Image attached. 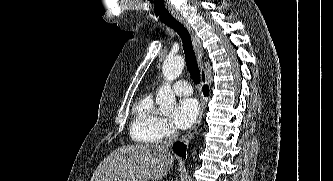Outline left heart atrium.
Returning a JSON list of instances; mask_svg holds the SVG:
<instances>
[{
	"label": "left heart atrium",
	"mask_w": 333,
	"mask_h": 181,
	"mask_svg": "<svg viewBox=\"0 0 333 181\" xmlns=\"http://www.w3.org/2000/svg\"><path fill=\"white\" fill-rule=\"evenodd\" d=\"M199 115V104L193 98L182 99L177 103L173 121L177 127L186 129L193 125Z\"/></svg>",
	"instance_id": "39dd6f15"
}]
</instances>
